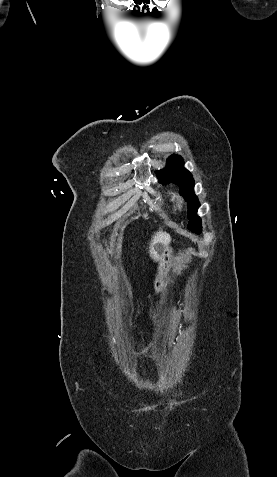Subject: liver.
<instances>
[{"label": "liver", "mask_w": 277, "mask_h": 477, "mask_svg": "<svg viewBox=\"0 0 277 477\" xmlns=\"http://www.w3.org/2000/svg\"><path fill=\"white\" fill-rule=\"evenodd\" d=\"M170 241H171V237L166 232L159 231V232L154 234V236L151 239L150 246H149V249H150L149 253H150V256L154 259V261L159 260V254L154 251L153 246L156 243H161L164 247H166L169 244Z\"/></svg>", "instance_id": "1"}]
</instances>
